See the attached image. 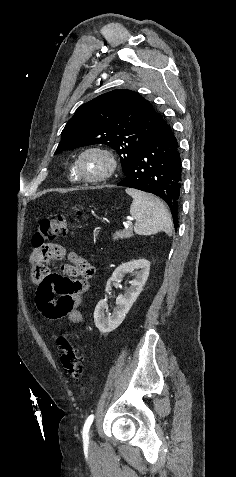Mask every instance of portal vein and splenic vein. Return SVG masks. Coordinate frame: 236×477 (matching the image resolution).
<instances>
[{
    "mask_svg": "<svg viewBox=\"0 0 236 477\" xmlns=\"http://www.w3.org/2000/svg\"><path fill=\"white\" fill-rule=\"evenodd\" d=\"M131 225H132V222L130 220H127V221L124 222L125 228H129V226H131Z\"/></svg>",
    "mask_w": 236,
    "mask_h": 477,
    "instance_id": "obj_1",
    "label": "portal vein and splenic vein"
}]
</instances>
